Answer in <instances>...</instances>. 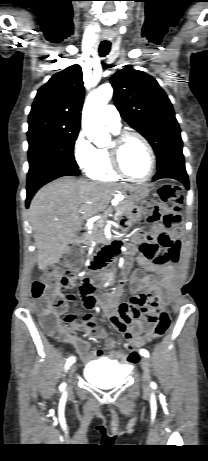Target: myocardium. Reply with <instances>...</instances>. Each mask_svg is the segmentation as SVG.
I'll return each mask as SVG.
<instances>
[{
    "instance_id": "f54148a6",
    "label": "myocardium",
    "mask_w": 208,
    "mask_h": 461,
    "mask_svg": "<svg viewBox=\"0 0 208 461\" xmlns=\"http://www.w3.org/2000/svg\"><path fill=\"white\" fill-rule=\"evenodd\" d=\"M129 138H137L139 139L145 148L148 151L149 157H150V168L146 176L142 178H137L129 175L123 168L122 163H121V150L125 142ZM108 154H109V159H110V164L112 169L115 171L116 174H118L120 177H124L126 179H129L131 181L135 182H146L150 180V178L153 176L156 168V157H155V152L153 150V147L151 146L150 142L139 132L136 131H124L115 136L113 139L111 145L107 148Z\"/></svg>"
}]
</instances>
